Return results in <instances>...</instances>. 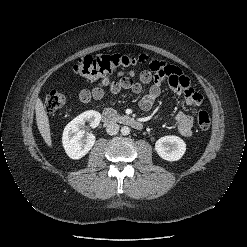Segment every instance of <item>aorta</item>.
Masks as SVG:
<instances>
[{
  "label": "aorta",
  "mask_w": 247,
  "mask_h": 247,
  "mask_svg": "<svg viewBox=\"0 0 247 247\" xmlns=\"http://www.w3.org/2000/svg\"><path fill=\"white\" fill-rule=\"evenodd\" d=\"M121 134L122 135H129L130 134V128L128 126H123L121 128Z\"/></svg>",
  "instance_id": "aorta-1"
}]
</instances>
